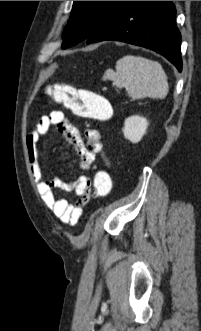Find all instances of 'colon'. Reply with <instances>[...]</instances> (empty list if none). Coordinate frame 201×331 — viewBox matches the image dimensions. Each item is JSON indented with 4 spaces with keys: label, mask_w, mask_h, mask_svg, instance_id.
Returning <instances> with one entry per match:
<instances>
[{
    "label": "colon",
    "mask_w": 201,
    "mask_h": 331,
    "mask_svg": "<svg viewBox=\"0 0 201 331\" xmlns=\"http://www.w3.org/2000/svg\"><path fill=\"white\" fill-rule=\"evenodd\" d=\"M47 94L57 103L64 105L76 115L97 121L110 118L112 109L103 96L86 89H77L68 84H52L47 88ZM112 190V177L106 170H99L94 177L89 191V198L106 197Z\"/></svg>",
    "instance_id": "5ec220e1"
}]
</instances>
